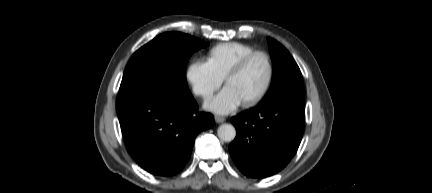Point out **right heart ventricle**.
Returning a JSON list of instances; mask_svg holds the SVG:
<instances>
[{
    "label": "right heart ventricle",
    "mask_w": 432,
    "mask_h": 193,
    "mask_svg": "<svg viewBox=\"0 0 432 193\" xmlns=\"http://www.w3.org/2000/svg\"><path fill=\"white\" fill-rule=\"evenodd\" d=\"M255 50L254 46L244 43L218 44L209 50L207 64L223 80L238 61Z\"/></svg>",
    "instance_id": "right-heart-ventricle-1"
}]
</instances>
